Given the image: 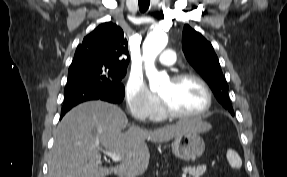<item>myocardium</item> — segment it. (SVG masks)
Here are the masks:
<instances>
[{
    "instance_id": "obj_1",
    "label": "myocardium",
    "mask_w": 287,
    "mask_h": 177,
    "mask_svg": "<svg viewBox=\"0 0 287 177\" xmlns=\"http://www.w3.org/2000/svg\"><path fill=\"white\" fill-rule=\"evenodd\" d=\"M171 80L174 83H180L186 80L195 81L203 89L205 96H206V103L200 112L194 113V114H185V113H179V112L174 111L169 106V104L162 97L159 96L161 108L166 117L174 118V119H196V118L203 117L210 111L213 105V95H212V91L210 87L208 86V84L205 82L204 79H202L200 76L193 74V73H179L175 75L174 77H172Z\"/></svg>"
}]
</instances>
